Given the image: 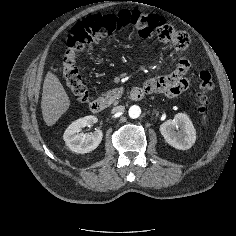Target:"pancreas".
I'll return each mask as SVG.
<instances>
[{
	"label": "pancreas",
	"mask_w": 236,
	"mask_h": 236,
	"mask_svg": "<svg viewBox=\"0 0 236 236\" xmlns=\"http://www.w3.org/2000/svg\"><path fill=\"white\" fill-rule=\"evenodd\" d=\"M122 93H123L122 87L115 88V89L105 92L102 95V97L99 98V100L105 102L108 105L113 104V103L115 104L118 102V99L120 98Z\"/></svg>",
	"instance_id": "1"
}]
</instances>
